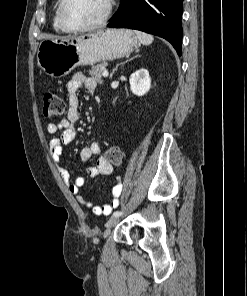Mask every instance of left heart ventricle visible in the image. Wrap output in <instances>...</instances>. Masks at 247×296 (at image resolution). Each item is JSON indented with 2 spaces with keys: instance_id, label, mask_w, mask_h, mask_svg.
Masks as SVG:
<instances>
[{
  "instance_id": "obj_1",
  "label": "left heart ventricle",
  "mask_w": 247,
  "mask_h": 296,
  "mask_svg": "<svg viewBox=\"0 0 247 296\" xmlns=\"http://www.w3.org/2000/svg\"><path fill=\"white\" fill-rule=\"evenodd\" d=\"M105 9V0H68L65 18L70 26L83 27L99 21Z\"/></svg>"
}]
</instances>
